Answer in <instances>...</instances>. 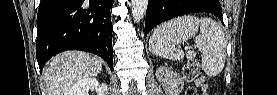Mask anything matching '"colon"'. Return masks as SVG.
I'll use <instances>...</instances> for the list:
<instances>
[{
  "mask_svg": "<svg viewBox=\"0 0 277 95\" xmlns=\"http://www.w3.org/2000/svg\"><path fill=\"white\" fill-rule=\"evenodd\" d=\"M200 72H201L200 64L195 60L187 62L183 67L184 77L190 81L195 79ZM185 94L194 95L197 93L194 88L190 87L186 90Z\"/></svg>",
  "mask_w": 277,
  "mask_h": 95,
  "instance_id": "obj_1",
  "label": "colon"
}]
</instances>
